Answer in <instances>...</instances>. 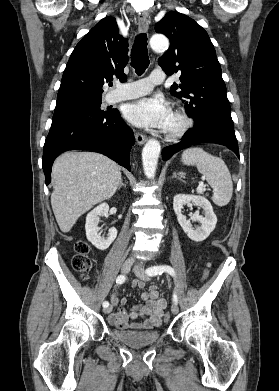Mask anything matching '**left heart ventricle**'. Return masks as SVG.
I'll return each mask as SVG.
<instances>
[{
  "label": "left heart ventricle",
  "mask_w": 279,
  "mask_h": 391,
  "mask_svg": "<svg viewBox=\"0 0 279 391\" xmlns=\"http://www.w3.org/2000/svg\"><path fill=\"white\" fill-rule=\"evenodd\" d=\"M177 125H178V121H177L173 116H171L170 121H169V124H168V127H167L166 130L173 129V128H175Z\"/></svg>",
  "instance_id": "1"
}]
</instances>
